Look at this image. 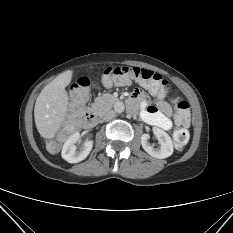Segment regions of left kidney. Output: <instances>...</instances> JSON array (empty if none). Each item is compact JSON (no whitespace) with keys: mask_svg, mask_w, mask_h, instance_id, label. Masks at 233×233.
Here are the masks:
<instances>
[{"mask_svg":"<svg viewBox=\"0 0 233 233\" xmlns=\"http://www.w3.org/2000/svg\"><path fill=\"white\" fill-rule=\"evenodd\" d=\"M153 133L158 139L160 144L159 148H154L148 142L149 136L147 134H143L141 136V144L143 149L152 157L158 159H164L172 155L173 153V143L171 137L162 129L153 127Z\"/></svg>","mask_w":233,"mask_h":233,"instance_id":"obj_1","label":"left kidney"}]
</instances>
